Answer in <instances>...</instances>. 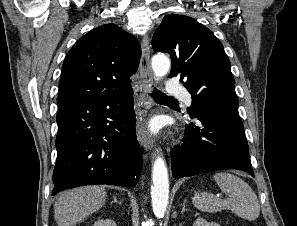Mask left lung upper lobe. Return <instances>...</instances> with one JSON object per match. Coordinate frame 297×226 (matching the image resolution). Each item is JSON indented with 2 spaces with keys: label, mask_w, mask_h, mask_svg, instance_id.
Listing matches in <instances>:
<instances>
[{
  "label": "left lung upper lobe",
  "mask_w": 297,
  "mask_h": 226,
  "mask_svg": "<svg viewBox=\"0 0 297 226\" xmlns=\"http://www.w3.org/2000/svg\"><path fill=\"white\" fill-rule=\"evenodd\" d=\"M154 51L171 55V76L192 95L191 116L213 108L238 111V97L230 61L222 43L191 17H164L152 38Z\"/></svg>",
  "instance_id": "1"
}]
</instances>
